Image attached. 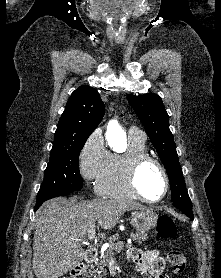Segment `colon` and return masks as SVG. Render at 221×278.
I'll list each match as a JSON object with an SVG mask.
<instances>
[{
    "instance_id": "colon-1",
    "label": "colon",
    "mask_w": 221,
    "mask_h": 278,
    "mask_svg": "<svg viewBox=\"0 0 221 278\" xmlns=\"http://www.w3.org/2000/svg\"><path fill=\"white\" fill-rule=\"evenodd\" d=\"M156 233L160 238H172L176 235V225L169 216L158 218ZM171 262L172 273L181 274L186 267L187 259L183 252L171 250L168 253Z\"/></svg>"
}]
</instances>
